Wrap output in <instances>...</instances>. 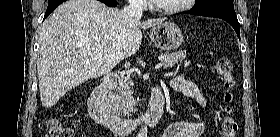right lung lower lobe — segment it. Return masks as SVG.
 Masks as SVG:
<instances>
[{"label": "right lung lower lobe", "instance_id": "1", "mask_svg": "<svg viewBox=\"0 0 280 137\" xmlns=\"http://www.w3.org/2000/svg\"><path fill=\"white\" fill-rule=\"evenodd\" d=\"M64 1H66V0H49L44 19L47 18L50 15V13L53 12L55 10V8H57ZM99 1L103 2L104 4H106L107 6H110V7L117 6L116 0H99Z\"/></svg>", "mask_w": 280, "mask_h": 137}]
</instances>
